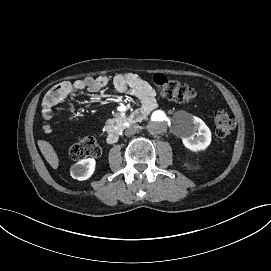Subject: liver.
<instances>
[{
  "label": "liver",
  "mask_w": 271,
  "mask_h": 271,
  "mask_svg": "<svg viewBox=\"0 0 271 271\" xmlns=\"http://www.w3.org/2000/svg\"><path fill=\"white\" fill-rule=\"evenodd\" d=\"M39 148L42 152V154L44 155L45 159L47 160V162L53 167V168H57L58 166V158L54 152V150L52 149V147L43 141H39L38 142Z\"/></svg>",
  "instance_id": "6515ba94"
}]
</instances>
